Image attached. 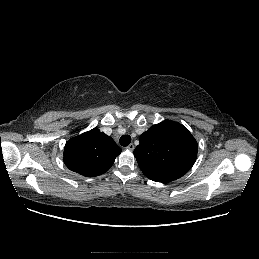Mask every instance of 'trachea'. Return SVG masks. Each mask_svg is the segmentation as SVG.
Returning a JSON list of instances; mask_svg holds the SVG:
<instances>
[{"label": "trachea", "mask_w": 259, "mask_h": 259, "mask_svg": "<svg viewBox=\"0 0 259 259\" xmlns=\"http://www.w3.org/2000/svg\"><path fill=\"white\" fill-rule=\"evenodd\" d=\"M120 144L124 147L128 146L131 142V137L129 135H123L119 140Z\"/></svg>", "instance_id": "trachea-1"}]
</instances>
